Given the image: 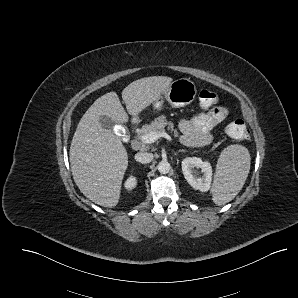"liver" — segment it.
Masks as SVG:
<instances>
[{
  "label": "liver",
  "instance_id": "liver-1",
  "mask_svg": "<svg viewBox=\"0 0 298 298\" xmlns=\"http://www.w3.org/2000/svg\"><path fill=\"white\" fill-rule=\"evenodd\" d=\"M173 78L150 76L131 82L122 91L124 110L116 92L94 101L80 119L72 138L69 160L74 182L89 200L103 207H115L128 167V154L121 139L100 124L106 115L116 124L128 122V114L139 113L157 101Z\"/></svg>",
  "mask_w": 298,
  "mask_h": 298
}]
</instances>
